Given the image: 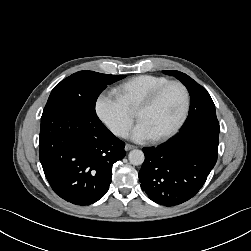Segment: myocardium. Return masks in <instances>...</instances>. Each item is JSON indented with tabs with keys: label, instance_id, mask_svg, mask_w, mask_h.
<instances>
[{
	"label": "myocardium",
	"instance_id": "obj_1",
	"mask_svg": "<svg viewBox=\"0 0 251 251\" xmlns=\"http://www.w3.org/2000/svg\"><path fill=\"white\" fill-rule=\"evenodd\" d=\"M172 85L179 86L183 91V94H184L183 110L180 115V118L178 119L176 124L169 131L153 138V140L156 142H162V141H166V140L172 138L174 135L177 134V132L184 125V123L187 119L188 113H189V109H190V93H189V90L186 87V85L178 80H170V81L164 83L163 85L158 87L156 90H154L146 99H144L135 111L136 117H137V114L139 112L146 110V109H149L152 106H154L156 104V102L159 100V98L162 96V94Z\"/></svg>",
	"mask_w": 251,
	"mask_h": 251
}]
</instances>
